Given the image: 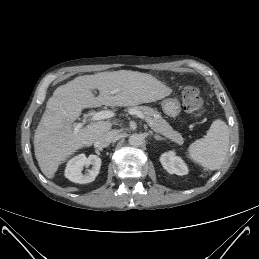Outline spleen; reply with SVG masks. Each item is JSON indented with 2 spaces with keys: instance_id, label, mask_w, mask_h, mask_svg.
<instances>
[{
  "instance_id": "obj_1",
  "label": "spleen",
  "mask_w": 259,
  "mask_h": 259,
  "mask_svg": "<svg viewBox=\"0 0 259 259\" xmlns=\"http://www.w3.org/2000/svg\"><path fill=\"white\" fill-rule=\"evenodd\" d=\"M229 145L227 124L217 119L213 121L207 135L189 146L188 157L207 170H216L222 165Z\"/></svg>"
}]
</instances>
